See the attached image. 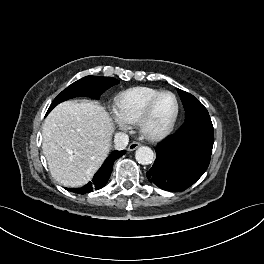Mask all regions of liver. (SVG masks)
<instances>
[{
    "mask_svg": "<svg viewBox=\"0 0 264 264\" xmlns=\"http://www.w3.org/2000/svg\"><path fill=\"white\" fill-rule=\"evenodd\" d=\"M113 132L112 119L97 103L57 105L42 130V149L51 175L66 187L85 185L107 157Z\"/></svg>",
    "mask_w": 264,
    "mask_h": 264,
    "instance_id": "obj_1",
    "label": "liver"
}]
</instances>
